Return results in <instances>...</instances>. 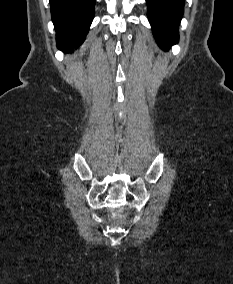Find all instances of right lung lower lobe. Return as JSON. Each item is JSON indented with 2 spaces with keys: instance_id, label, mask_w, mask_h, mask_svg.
<instances>
[{
  "instance_id": "1",
  "label": "right lung lower lobe",
  "mask_w": 233,
  "mask_h": 284,
  "mask_svg": "<svg viewBox=\"0 0 233 284\" xmlns=\"http://www.w3.org/2000/svg\"><path fill=\"white\" fill-rule=\"evenodd\" d=\"M95 0H50L59 50L72 53L79 47L94 17Z\"/></svg>"
}]
</instances>
